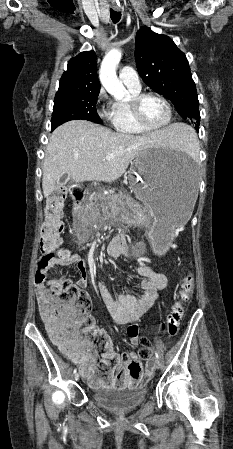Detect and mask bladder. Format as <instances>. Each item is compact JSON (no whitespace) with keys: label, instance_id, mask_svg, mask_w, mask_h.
Returning a JSON list of instances; mask_svg holds the SVG:
<instances>
[{"label":"bladder","instance_id":"obj_1","mask_svg":"<svg viewBox=\"0 0 233 449\" xmlns=\"http://www.w3.org/2000/svg\"><path fill=\"white\" fill-rule=\"evenodd\" d=\"M147 398L145 387L135 389H113L104 387L92 391V399L100 408L113 412L125 413L137 409Z\"/></svg>","mask_w":233,"mask_h":449}]
</instances>
